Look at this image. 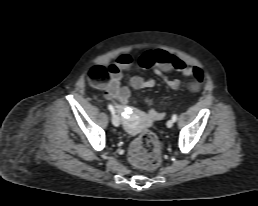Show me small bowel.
Wrapping results in <instances>:
<instances>
[{
    "instance_id": "1",
    "label": "small bowel",
    "mask_w": 258,
    "mask_h": 206,
    "mask_svg": "<svg viewBox=\"0 0 258 206\" xmlns=\"http://www.w3.org/2000/svg\"><path fill=\"white\" fill-rule=\"evenodd\" d=\"M135 63L142 68L152 69L162 75L168 87L173 90L180 88L181 81L177 78H169L164 75L165 73L176 71L185 76H192L193 81L189 84V89L193 92L200 89L204 77V72L200 67L193 66L161 49L149 50L141 55L137 61L128 54H122L108 67V81L101 86L109 99L118 102V109L124 110V105L130 96L129 88L122 85L123 73L131 69ZM155 84L156 81L154 79H145L140 76H132L130 78V85L135 89L151 88ZM163 117V113L156 112L153 109L150 110V119L159 120ZM126 125L131 127L132 121L127 120Z\"/></svg>"
}]
</instances>
